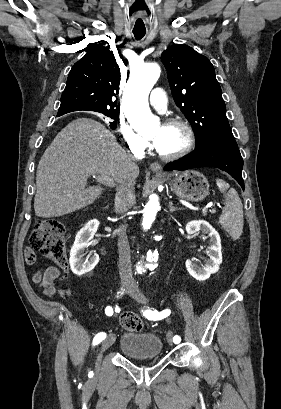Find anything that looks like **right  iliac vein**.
<instances>
[{
	"label": "right iliac vein",
	"instance_id": "63e3f726",
	"mask_svg": "<svg viewBox=\"0 0 281 409\" xmlns=\"http://www.w3.org/2000/svg\"><path fill=\"white\" fill-rule=\"evenodd\" d=\"M121 286H122V288L125 290V289H128L129 284H128L127 282H122V283H121ZM114 342H115V335H113V334L110 335V336H108V337L102 342L101 350H100V353H99L98 358H97V364H98V365H99L100 362H101L103 352H104L106 349H108Z\"/></svg>",
	"mask_w": 281,
	"mask_h": 409
}]
</instances>
